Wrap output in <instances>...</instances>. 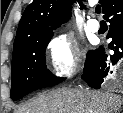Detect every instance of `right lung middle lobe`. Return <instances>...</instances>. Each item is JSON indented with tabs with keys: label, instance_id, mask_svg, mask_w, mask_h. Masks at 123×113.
<instances>
[{
	"label": "right lung middle lobe",
	"instance_id": "obj_1",
	"mask_svg": "<svg viewBox=\"0 0 123 113\" xmlns=\"http://www.w3.org/2000/svg\"><path fill=\"white\" fill-rule=\"evenodd\" d=\"M52 35L26 41L13 49L11 99L18 100L34 90L54 86L64 80L46 68L45 50Z\"/></svg>",
	"mask_w": 123,
	"mask_h": 113
}]
</instances>
